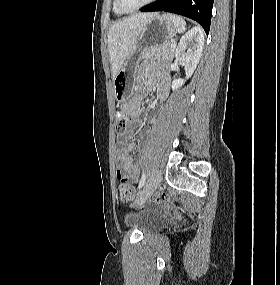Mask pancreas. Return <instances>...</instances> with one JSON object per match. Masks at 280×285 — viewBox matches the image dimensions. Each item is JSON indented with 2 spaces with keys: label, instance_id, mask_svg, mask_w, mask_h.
<instances>
[{
  "label": "pancreas",
  "instance_id": "pancreas-1",
  "mask_svg": "<svg viewBox=\"0 0 280 285\" xmlns=\"http://www.w3.org/2000/svg\"><path fill=\"white\" fill-rule=\"evenodd\" d=\"M172 43V41L168 40L158 46L147 49L143 54V58L162 57L168 61L172 60L174 55V49L171 48Z\"/></svg>",
  "mask_w": 280,
  "mask_h": 285
}]
</instances>
